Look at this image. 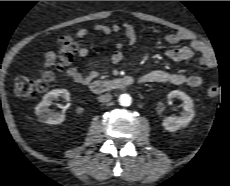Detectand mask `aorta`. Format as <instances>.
<instances>
[{
    "label": "aorta",
    "instance_id": "obj_1",
    "mask_svg": "<svg viewBox=\"0 0 230 186\" xmlns=\"http://www.w3.org/2000/svg\"><path fill=\"white\" fill-rule=\"evenodd\" d=\"M132 98L128 94H122L119 97V104L124 107H128L131 105Z\"/></svg>",
    "mask_w": 230,
    "mask_h": 186
}]
</instances>
